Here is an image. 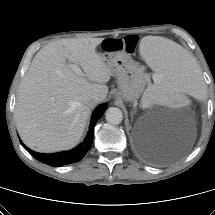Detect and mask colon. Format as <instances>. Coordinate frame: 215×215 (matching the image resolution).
I'll use <instances>...</instances> for the list:
<instances>
[{
  "label": "colon",
  "instance_id": "1",
  "mask_svg": "<svg viewBox=\"0 0 215 215\" xmlns=\"http://www.w3.org/2000/svg\"><path fill=\"white\" fill-rule=\"evenodd\" d=\"M139 38L136 35H126L111 39L106 38L102 42V47L106 51H123L129 54L135 53Z\"/></svg>",
  "mask_w": 215,
  "mask_h": 215
}]
</instances>
